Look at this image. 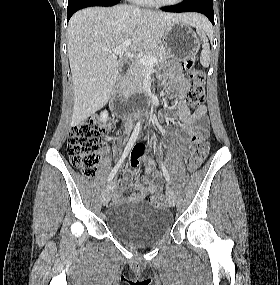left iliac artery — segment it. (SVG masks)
<instances>
[{
  "label": "left iliac artery",
  "instance_id": "left-iliac-artery-1",
  "mask_svg": "<svg viewBox=\"0 0 280 285\" xmlns=\"http://www.w3.org/2000/svg\"><path fill=\"white\" fill-rule=\"evenodd\" d=\"M161 168H162L163 175H164L167 183L170 184L171 183L170 175H169L168 170L166 169L165 165L162 162H161Z\"/></svg>",
  "mask_w": 280,
  "mask_h": 285
}]
</instances>
